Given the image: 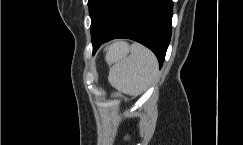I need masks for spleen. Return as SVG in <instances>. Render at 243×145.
<instances>
[{
	"instance_id": "3e777b00",
	"label": "spleen",
	"mask_w": 243,
	"mask_h": 145,
	"mask_svg": "<svg viewBox=\"0 0 243 145\" xmlns=\"http://www.w3.org/2000/svg\"><path fill=\"white\" fill-rule=\"evenodd\" d=\"M128 52V56L117 55L114 49L107 53L106 60L115 62L109 70L108 81L119 91L140 95L156 78L158 61L152 51L139 43L133 44Z\"/></svg>"
}]
</instances>
